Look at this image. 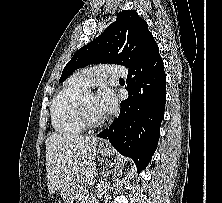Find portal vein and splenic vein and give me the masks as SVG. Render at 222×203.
<instances>
[{
	"label": "portal vein and splenic vein",
	"instance_id": "1",
	"mask_svg": "<svg viewBox=\"0 0 222 203\" xmlns=\"http://www.w3.org/2000/svg\"><path fill=\"white\" fill-rule=\"evenodd\" d=\"M92 182H93V180H92V179H90V180H89V183H92Z\"/></svg>",
	"mask_w": 222,
	"mask_h": 203
}]
</instances>
